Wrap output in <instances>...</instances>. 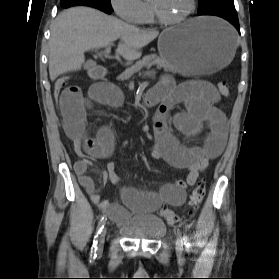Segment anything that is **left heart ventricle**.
Segmentation results:
<instances>
[{
  "instance_id": "1",
  "label": "left heart ventricle",
  "mask_w": 279,
  "mask_h": 279,
  "mask_svg": "<svg viewBox=\"0 0 279 279\" xmlns=\"http://www.w3.org/2000/svg\"><path fill=\"white\" fill-rule=\"evenodd\" d=\"M167 18L183 15L190 6V0H150Z\"/></svg>"
}]
</instances>
